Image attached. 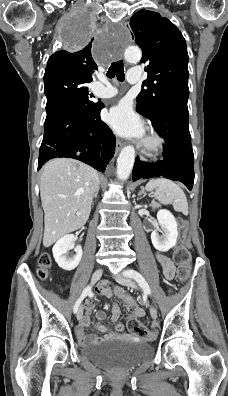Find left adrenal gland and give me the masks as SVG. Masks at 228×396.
<instances>
[{"label":"left adrenal gland","instance_id":"1","mask_svg":"<svg viewBox=\"0 0 228 396\" xmlns=\"http://www.w3.org/2000/svg\"><path fill=\"white\" fill-rule=\"evenodd\" d=\"M141 195H143V197L146 196V192H145L144 187H141V191L138 193V196H141Z\"/></svg>","mask_w":228,"mask_h":396}]
</instances>
